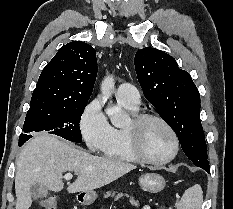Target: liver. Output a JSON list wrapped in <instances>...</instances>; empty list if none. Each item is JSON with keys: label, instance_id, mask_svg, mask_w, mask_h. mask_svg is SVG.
I'll return each mask as SVG.
<instances>
[{"label": "liver", "instance_id": "liver-1", "mask_svg": "<svg viewBox=\"0 0 233 209\" xmlns=\"http://www.w3.org/2000/svg\"><path fill=\"white\" fill-rule=\"evenodd\" d=\"M134 169L133 164L94 156L56 136L40 134L26 143L16 163V209L30 208L35 184L61 191L64 172L77 175L67 188L69 193H77L103 187Z\"/></svg>", "mask_w": 233, "mask_h": 209}]
</instances>
